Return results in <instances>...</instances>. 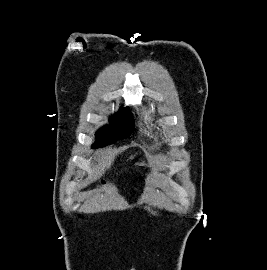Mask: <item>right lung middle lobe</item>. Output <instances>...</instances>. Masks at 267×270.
Instances as JSON below:
<instances>
[{
    "instance_id": "right-lung-middle-lobe-1",
    "label": "right lung middle lobe",
    "mask_w": 267,
    "mask_h": 270,
    "mask_svg": "<svg viewBox=\"0 0 267 270\" xmlns=\"http://www.w3.org/2000/svg\"><path fill=\"white\" fill-rule=\"evenodd\" d=\"M134 128V121L128 108L120 110L110 119V127L105 126L97 133V143L94 148L113 143L118 139L127 138Z\"/></svg>"
}]
</instances>
